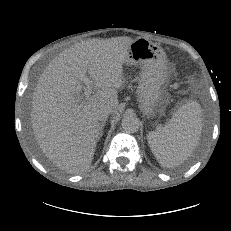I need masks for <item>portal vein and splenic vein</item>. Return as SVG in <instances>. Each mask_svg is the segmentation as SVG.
<instances>
[{
  "label": "portal vein and splenic vein",
  "mask_w": 231,
  "mask_h": 231,
  "mask_svg": "<svg viewBox=\"0 0 231 231\" xmlns=\"http://www.w3.org/2000/svg\"><path fill=\"white\" fill-rule=\"evenodd\" d=\"M80 79L84 82V84L86 85V88L84 90V97L85 98H89L92 94V82L91 80L85 75V74H81ZM82 97H80L78 100L82 101Z\"/></svg>",
  "instance_id": "portal-vein-and-splenic-vein-1"
}]
</instances>
